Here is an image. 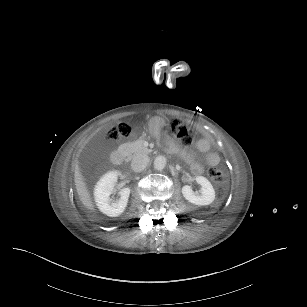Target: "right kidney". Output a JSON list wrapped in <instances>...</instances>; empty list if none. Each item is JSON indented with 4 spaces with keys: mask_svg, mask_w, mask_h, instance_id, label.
<instances>
[{
    "mask_svg": "<svg viewBox=\"0 0 307 307\" xmlns=\"http://www.w3.org/2000/svg\"><path fill=\"white\" fill-rule=\"evenodd\" d=\"M119 175L120 171H108L99 179L94 188V199L98 209L109 217H117L125 210L130 195V189L123 188L118 200L110 199Z\"/></svg>",
    "mask_w": 307,
    "mask_h": 307,
    "instance_id": "obj_1",
    "label": "right kidney"
}]
</instances>
